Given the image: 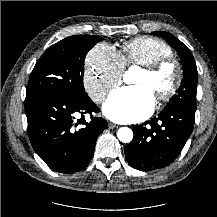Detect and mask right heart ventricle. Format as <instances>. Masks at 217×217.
Returning a JSON list of instances; mask_svg holds the SVG:
<instances>
[{"label":"right heart ventricle","instance_id":"obj_1","mask_svg":"<svg viewBox=\"0 0 217 217\" xmlns=\"http://www.w3.org/2000/svg\"><path fill=\"white\" fill-rule=\"evenodd\" d=\"M118 56L124 67L146 66L161 58L172 56V49L158 38L136 37L123 43Z\"/></svg>","mask_w":217,"mask_h":217}]
</instances>
